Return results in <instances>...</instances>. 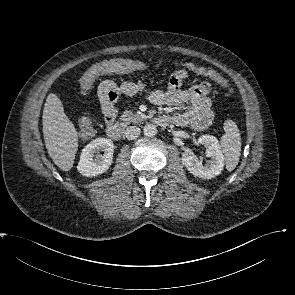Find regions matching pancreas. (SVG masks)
<instances>
[{
  "label": "pancreas",
  "instance_id": "1",
  "mask_svg": "<svg viewBox=\"0 0 295 295\" xmlns=\"http://www.w3.org/2000/svg\"><path fill=\"white\" fill-rule=\"evenodd\" d=\"M121 121H123L125 124H130V123H137L139 120L142 119L141 115L138 114H133L132 111H125L122 115H121Z\"/></svg>",
  "mask_w": 295,
  "mask_h": 295
}]
</instances>
